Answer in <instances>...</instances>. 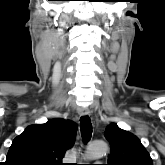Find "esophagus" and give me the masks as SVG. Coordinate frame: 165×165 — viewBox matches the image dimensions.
<instances>
[{
  "instance_id": "1",
  "label": "esophagus",
  "mask_w": 165,
  "mask_h": 165,
  "mask_svg": "<svg viewBox=\"0 0 165 165\" xmlns=\"http://www.w3.org/2000/svg\"><path fill=\"white\" fill-rule=\"evenodd\" d=\"M78 113L80 116H88L90 114V111L87 107H79Z\"/></svg>"
}]
</instances>
